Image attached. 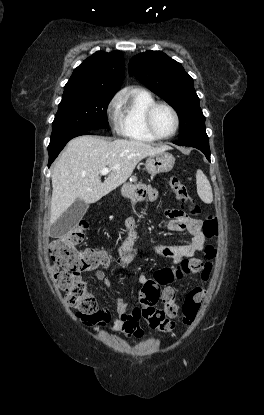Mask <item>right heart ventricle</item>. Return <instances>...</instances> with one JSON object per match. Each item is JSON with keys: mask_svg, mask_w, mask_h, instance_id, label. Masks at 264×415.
<instances>
[{"mask_svg": "<svg viewBox=\"0 0 264 415\" xmlns=\"http://www.w3.org/2000/svg\"><path fill=\"white\" fill-rule=\"evenodd\" d=\"M154 96L145 90H133L119 101V132L133 141L153 143L156 139L147 131L144 115L155 103Z\"/></svg>", "mask_w": 264, "mask_h": 415, "instance_id": "e07e8e85", "label": "right heart ventricle"}]
</instances>
